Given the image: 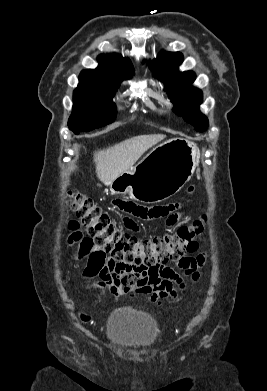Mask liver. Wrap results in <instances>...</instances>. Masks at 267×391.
<instances>
[{"label": "liver", "instance_id": "liver-1", "mask_svg": "<svg viewBox=\"0 0 267 391\" xmlns=\"http://www.w3.org/2000/svg\"><path fill=\"white\" fill-rule=\"evenodd\" d=\"M163 134L141 135L94 153L96 174L106 186L130 170L152 146L165 139Z\"/></svg>", "mask_w": 267, "mask_h": 391}]
</instances>
